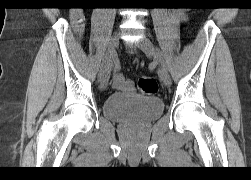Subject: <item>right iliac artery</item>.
<instances>
[{
  "label": "right iliac artery",
  "instance_id": "right-iliac-artery-1",
  "mask_svg": "<svg viewBox=\"0 0 251 180\" xmlns=\"http://www.w3.org/2000/svg\"><path fill=\"white\" fill-rule=\"evenodd\" d=\"M107 55L104 57L101 68H100V72H99V77H101L102 73L104 72V69L107 65Z\"/></svg>",
  "mask_w": 251,
  "mask_h": 180
}]
</instances>
